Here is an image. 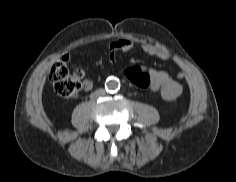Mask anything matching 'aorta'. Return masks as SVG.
Instances as JSON below:
<instances>
[{
	"label": "aorta",
	"instance_id": "aorta-1",
	"mask_svg": "<svg viewBox=\"0 0 236 182\" xmlns=\"http://www.w3.org/2000/svg\"><path fill=\"white\" fill-rule=\"evenodd\" d=\"M108 92H117L120 89V82L117 78H108L105 83Z\"/></svg>",
	"mask_w": 236,
	"mask_h": 182
}]
</instances>
